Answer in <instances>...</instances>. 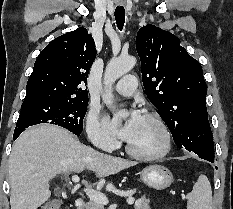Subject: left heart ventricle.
Returning a JSON list of instances; mask_svg holds the SVG:
<instances>
[{
    "instance_id": "b2bd125f",
    "label": "left heart ventricle",
    "mask_w": 233,
    "mask_h": 209,
    "mask_svg": "<svg viewBox=\"0 0 233 209\" xmlns=\"http://www.w3.org/2000/svg\"><path fill=\"white\" fill-rule=\"evenodd\" d=\"M163 138L159 127L150 119L143 117L133 137L128 141L130 146L141 153L158 151Z\"/></svg>"
}]
</instances>
